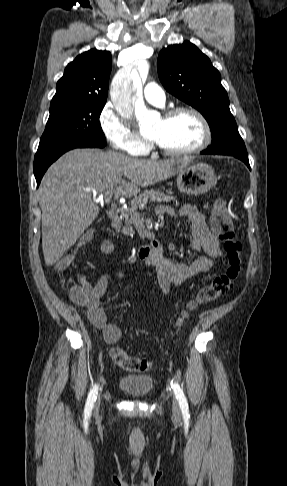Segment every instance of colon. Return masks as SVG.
Listing matches in <instances>:
<instances>
[{
	"label": "colon",
	"instance_id": "obj_1",
	"mask_svg": "<svg viewBox=\"0 0 287 486\" xmlns=\"http://www.w3.org/2000/svg\"><path fill=\"white\" fill-rule=\"evenodd\" d=\"M211 227L218 238L223 242V248L226 254V270L216 275L212 281L203 286L196 297L188 304L178 320L181 324L188 316L189 311L194 310L199 305H204L217 300L224 295L240 277L242 272V245L237 240L232 218L222 200H218L212 210ZM91 234L87 233L81 239V244L90 241ZM72 261V256L67 255L56 263L58 271L67 269ZM71 299L79 305H85L88 296L81 285H74L69 289ZM110 356L113 362L120 368L131 372H146L152 367V363L145 358H139L128 355L119 347L112 348Z\"/></svg>",
	"mask_w": 287,
	"mask_h": 486
}]
</instances>
